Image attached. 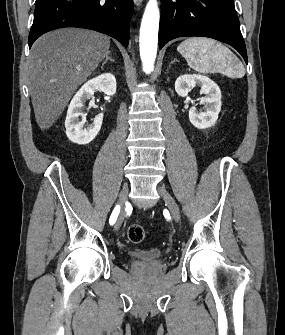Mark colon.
I'll return each instance as SVG.
<instances>
[{
  "mask_svg": "<svg viewBox=\"0 0 285 335\" xmlns=\"http://www.w3.org/2000/svg\"><path fill=\"white\" fill-rule=\"evenodd\" d=\"M146 236L145 230L140 224H131L127 228L128 240L134 244H139L144 241Z\"/></svg>",
  "mask_w": 285,
  "mask_h": 335,
  "instance_id": "obj_1",
  "label": "colon"
}]
</instances>
